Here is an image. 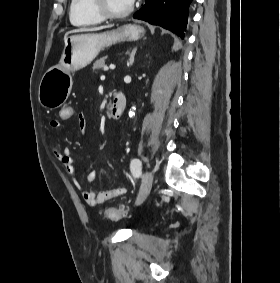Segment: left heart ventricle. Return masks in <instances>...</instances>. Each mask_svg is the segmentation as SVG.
<instances>
[{
  "instance_id": "1",
  "label": "left heart ventricle",
  "mask_w": 280,
  "mask_h": 283,
  "mask_svg": "<svg viewBox=\"0 0 280 283\" xmlns=\"http://www.w3.org/2000/svg\"><path fill=\"white\" fill-rule=\"evenodd\" d=\"M107 8L115 13L125 11L131 4L129 0H105Z\"/></svg>"
}]
</instances>
